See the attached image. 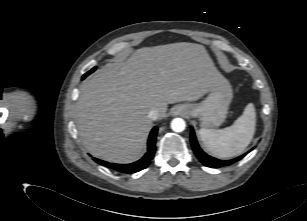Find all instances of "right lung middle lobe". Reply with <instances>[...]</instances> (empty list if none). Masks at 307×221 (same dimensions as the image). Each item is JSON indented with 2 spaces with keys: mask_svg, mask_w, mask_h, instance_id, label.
<instances>
[{
  "mask_svg": "<svg viewBox=\"0 0 307 221\" xmlns=\"http://www.w3.org/2000/svg\"><path fill=\"white\" fill-rule=\"evenodd\" d=\"M96 69V67H94L92 70H90L89 72H87L85 75H89L90 73H92L94 70Z\"/></svg>",
  "mask_w": 307,
  "mask_h": 221,
  "instance_id": "obj_1",
  "label": "right lung middle lobe"
}]
</instances>
